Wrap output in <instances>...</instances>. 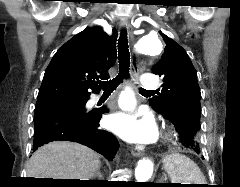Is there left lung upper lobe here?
I'll use <instances>...</instances> for the list:
<instances>
[{"label": "left lung upper lobe", "mask_w": 240, "mask_h": 187, "mask_svg": "<svg viewBox=\"0 0 240 187\" xmlns=\"http://www.w3.org/2000/svg\"><path fill=\"white\" fill-rule=\"evenodd\" d=\"M160 34L166 43L165 52L152 72L162 76L164 83L159 96L150 99V105L173 124L192 127L198 135L201 93L197 72L186 51L162 32Z\"/></svg>", "instance_id": "obj_1"}]
</instances>
